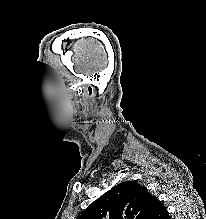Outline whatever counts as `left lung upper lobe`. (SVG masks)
<instances>
[{"label": "left lung upper lobe", "instance_id": "5c2ea615", "mask_svg": "<svg viewBox=\"0 0 206 219\" xmlns=\"http://www.w3.org/2000/svg\"><path fill=\"white\" fill-rule=\"evenodd\" d=\"M153 198L137 182L125 181L92 202L77 219H148Z\"/></svg>", "mask_w": 206, "mask_h": 219}]
</instances>
